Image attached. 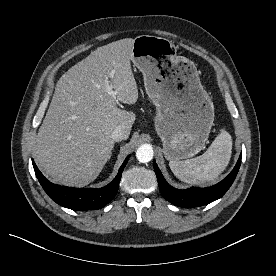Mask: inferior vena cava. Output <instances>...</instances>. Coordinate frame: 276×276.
<instances>
[{
    "mask_svg": "<svg viewBox=\"0 0 276 276\" xmlns=\"http://www.w3.org/2000/svg\"><path fill=\"white\" fill-rule=\"evenodd\" d=\"M111 137L114 141L118 142V141L126 139L127 135H126L124 129L121 126H117L113 130Z\"/></svg>",
    "mask_w": 276,
    "mask_h": 276,
    "instance_id": "obj_1",
    "label": "inferior vena cava"
}]
</instances>
